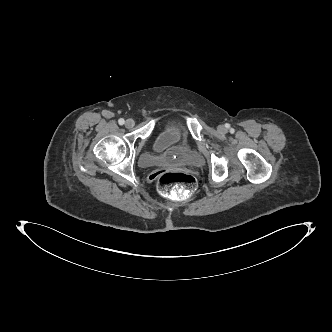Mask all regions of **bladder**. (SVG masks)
Masks as SVG:
<instances>
[{"label": "bladder", "mask_w": 332, "mask_h": 332, "mask_svg": "<svg viewBox=\"0 0 332 332\" xmlns=\"http://www.w3.org/2000/svg\"><path fill=\"white\" fill-rule=\"evenodd\" d=\"M152 148V152H144L139 156L138 163L141 167H198L201 164L198 151L178 125L165 126L156 136Z\"/></svg>", "instance_id": "1"}]
</instances>
